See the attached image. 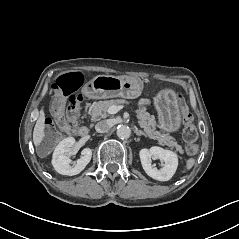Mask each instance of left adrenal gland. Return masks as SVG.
<instances>
[{"instance_id": "1", "label": "left adrenal gland", "mask_w": 239, "mask_h": 239, "mask_svg": "<svg viewBox=\"0 0 239 239\" xmlns=\"http://www.w3.org/2000/svg\"><path fill=\"white\" fill-rule=\"evenodd\" d=\"M134 133L139 137V136H144L147 137L146 134H144L142 131L138 130V128L135 127Z\"/></svg>"}]
</instances>
